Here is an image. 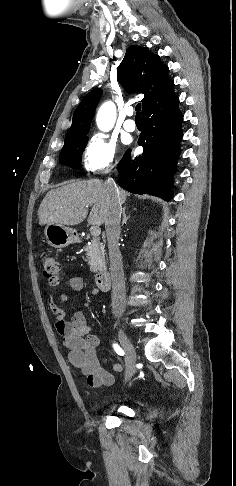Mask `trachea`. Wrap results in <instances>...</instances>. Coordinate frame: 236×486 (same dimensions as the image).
<instances>
[{
    "label": "trachea",
    "mask_w": 236,
    "mask_h": 486,
    "mask_svg": "<svg viewBox=\"0 0 236 486\" xmlns=\"http://www.w3.org/2000/svg\"><path fill=\"white\" fill-rule=\"evenodd\" d=\"M135 111H136V119H141V104H137L136 107H135Z\"/></svg>",
    "instance_id": "3493384b"
}]
</instances>
